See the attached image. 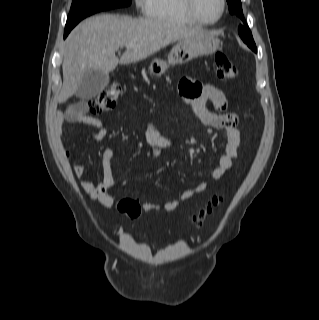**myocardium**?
<instances>
[{
	"label": "myocardium",
	"instance_id": "myocardium-1",
	"mask_svg": "<svg viewBox=\"0 0 319 320\" xmlns=\"http://www.w3.org/2000/svg\"><path fill=\"white\" fill-rule=\"evenodd\" d=\"M195 0H184L185 8L188 15L193 19L197 24L201 25H213L218 23L224 16L226 11V0H220L221 8L217 18L214 20H205L199 16L196 7H195Z\"/></svg>",
	"mask_w": 319,
	"mask_h": 320
}]
</instances>
